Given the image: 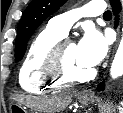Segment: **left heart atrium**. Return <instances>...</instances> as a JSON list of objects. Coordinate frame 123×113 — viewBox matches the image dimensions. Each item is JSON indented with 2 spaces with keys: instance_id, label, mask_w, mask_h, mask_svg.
Returning a JSON list of instances; mask_svg holds the SVG:
<instances>
[{
  "instance_id": "left-heart-atrium-1",
  "label": "left heart atrium",
  "mask_w": 123,
  "mask_h": 113,
  "mask_svg": "<svg viewBox=\"0 0 123 113\" xmlns=\"http://www.w3.org/2000/svg\"><path fill=\"white\" fill-rule=\"evenodd\" d=\"M108 51V40L95 29H87L77 45V55L81 63L89 68L98 65Z\"/></svg>"
}]
</instances>
